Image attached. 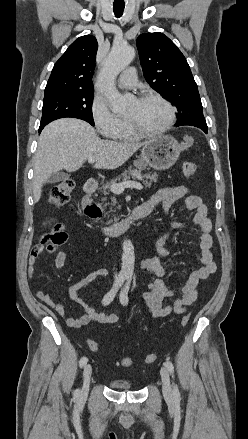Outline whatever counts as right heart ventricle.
Wrapping results in <instances>:
<instances>
[{"label":"right heart ventricle","mask_w":248,"mask_h":439,"mask_svg":"<svg viewBox=\"0 0 248 439\" xmlns=\"http://www.w3.org/2000/svg\"><path fill=\"white\" fill-rule=\"evenodd\" d=\"M114 138L119 142H135L140 139V136L132 131L127 120H125L121 131Z\"/></svg>","instance_id":"right-heart-ventricle-1"}]
</instances>
